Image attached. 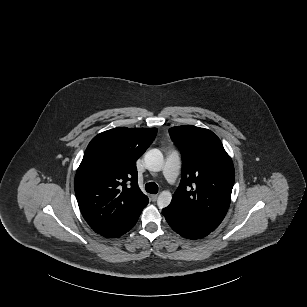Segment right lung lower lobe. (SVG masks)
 I'll list each match as a JSON object with an SVG mask.
<instances>
[{"mask_svg": "<svg viewBox=\"0 0 307 307\" xmlns=\"http://www.w3.org/2000/svg\"><path fill=\"white\" fill-rule=\"evenodd\" d=\"M143 208L138 210L134 214H132L126 221H124L122 224H120L116 228H114V229H112V230H110V231H108L104 234H101V235H103L105 237H119V236L123 235L124 233L129 231L135 225V223L137 222Z\"/></svg>", "mask_w": 307, "mask_h": 307, "instance_id": "right-lung-lower-lobe-1", "label": "right lung lower lobe"}]
</instances>
